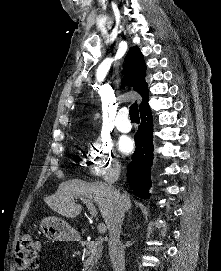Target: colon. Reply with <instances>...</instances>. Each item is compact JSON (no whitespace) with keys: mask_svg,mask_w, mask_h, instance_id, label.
Wrapping results in <instances>:
<instances>
[{"mask_svg":"<svg viewBox=\"0 0 221 271\" xmlns=\"http://www.w3.org/2000/svg\"><path fill=\"white\" fill-rule=\"evenodd\" d=\"M42 245L32 235H22L16 243L15 262L22 271L36 269L40 265Z\"/></svg>","mask_w":221,"mask_h":271,"instance_id":"obj_1","label":"colon"}]
</instances>
